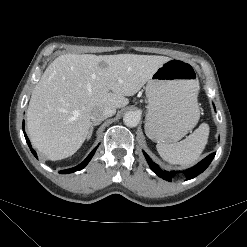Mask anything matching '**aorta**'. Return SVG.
Masks as SVG:
<instances>
[{
  "label": "aorta",
  "mask_w": 247,
  "mask_h": 247,
  "mask_svg": "<svg viewBox=\"0 0 247 247\" xmlns=\"http://www.w3.org/2000/svg\"><path fill=\"white\" fill-rule=\"evenodd\" d=\"M123 122L127 127H136L140 122V115L135 111L125 113Z\"/></svg>",
  "instance_id": "aorta-1"
}]
</instances>
